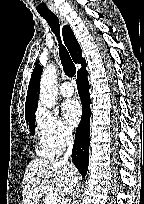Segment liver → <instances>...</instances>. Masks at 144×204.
Wrapping results in <instances>:
<instances>
[{
	"label": "liver",
	"mask_w": 144,
	"mask_h": 204,
	"mask_svg": "<svg viewBox=\"0 0 144 204\" xmlns=\"http://www.w3.org/2000/svg\"><path fill=\"white\" fill-rule=\"evenodd\" d=\"M78 179V170L67 161L33 159L23 177V204H38L41 195L46 192L56 191L61 196L67 195Z\"/></svg>",
	"instance_id": "6515ba94"
}]
</instances>
